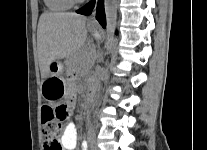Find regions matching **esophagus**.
Returning <instances> with one entry per match:
<instances>
[{
    "label": "esophagus",
    "instance_id": "1",
    "mask_svg": "<svg viewBox=\"0 0 207 150\" xmlns=\"http://www.w3.org/2000/svg\"><path fill=\"white\" fill-rule=\"evenodd\" d=\"M98 0H96V4H97ZM89 23L92 24H96L97 20H96V7L95 9L92 11V13L90 14L89 18H88Z\"/></svg>",
    "mask_w": 207,
    "mask_h": 150
}]
</instances>
